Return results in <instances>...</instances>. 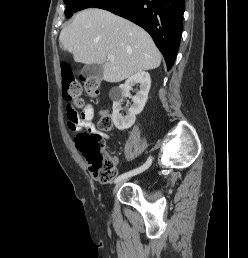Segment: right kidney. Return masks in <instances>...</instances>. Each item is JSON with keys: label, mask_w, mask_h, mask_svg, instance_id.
Returning a JSON list of instances; mask_svg holds the SVG:
<instances>
[{"label": "right kidney", "mask_w": 248, "mask_h": 258, "mask_svg": "<svg viewBox=\"0 0 248 258\" xmlns=\"http://www.w3.org/2000/svg\"><path fill=\"white\" fill-rule=\"evenodd\" d=\"M136 84L140 85V90L132 97L133 105L129 108L128 114L123 116L120 113L123 98L129 96V91ZM150 87L151 79L149 73L141 71L127 79L125 84L112 89L110 92V97L113 100L112 121L118 129H128L135 123L136 115L142 112L146 104Z\"/></svg>", "instance_id": "right-kidney-1"}]
</instances>
